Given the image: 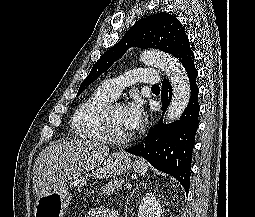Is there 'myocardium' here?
<instances>
[{"mask_svg":"<svg viewBox=\"0 0 255 217\" xmlns=\"http://www.w3.org/2000/svg\"><path fill=\"white\" fill-rule=\"evenodd\" d=\"M117 105L123 106L121 103L111 101L101 110L99 114V125L102 135L106 141L116 144H124L132 139V135L130 134L124 137L117 136L111 129L110 115L113 108Z\"/></svg>","mask_w":255,"mask_h":217,"instance_id":"1","label":"myocardium"}]
</instances>
